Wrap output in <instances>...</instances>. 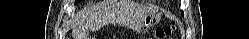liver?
Returning <instances> with one entry per match:
<instances>
[{"label": "liver", "instance_id": "obj_1", "mask_svg": "<svg viewBox=\"0 0 249 39\" xmlns=\"http://www.w3.org/2000/svg\"><path fill=\"white\" fill-rule=\"evenodd\" d=\"M131 7H135L137 9L138 15V23L140 24L144 18L150 13V9L146 8L145 6L135 5L131 1H121L117 3L115 6H109L105 8L103 15L100 19L89 20L88 26L89 27H98V25L104 21H111L116 17H123L130 15ZM87 13L94 14V8L92 11H88ZM74 37H78L77 32H74Z\"/></svg>", "mask_w": 249, "mask_h": 39}]
</instances>
